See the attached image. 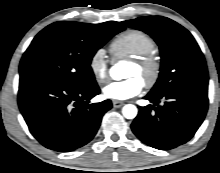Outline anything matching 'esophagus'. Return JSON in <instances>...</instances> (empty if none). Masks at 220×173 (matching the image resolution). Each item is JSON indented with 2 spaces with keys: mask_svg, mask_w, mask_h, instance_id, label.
Masks as SVG:
<instances>
[{
  "mask_svg": "<svg viewBox=\"0 0 220 173\" xmlns=\"http://www.w3.org/2000/svg\"><path fill=\"white\" fill-rule=\"evenodd\" d=\"M124 105V102H122V101H117V100H114L113 101V107L114 108H120V107H122Z\"/></svg>",
  "mask_w": 220,
  "mask_h": 173,
  "instance_id": "1",
  "label": "esophagus"
}]
</instances>
